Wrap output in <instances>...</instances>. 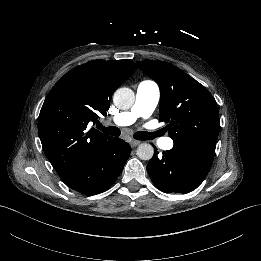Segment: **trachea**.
<instances>
[{
    "label": "trachea",
    "mask_w": 261,
    "mask_h": 261,
    "mask_svg": "<svg viewBox=\"0 0 261 261\" xmlns=\"http://www.w3.org/2000/svg\"><path fill=\"white\" fill-rule=\"evenodd\" d=\"M96 128L101 130L107 135H112L115 137L120 136V129L115 127V126H110V127H104L101 123L96 124ZM154 137L152 132H137L134 134V138L137 140H152Z\"/></svg>",
    "instance_id": "3493384b"
}]
</instances>
